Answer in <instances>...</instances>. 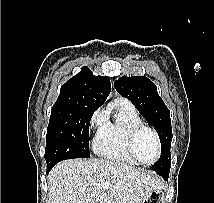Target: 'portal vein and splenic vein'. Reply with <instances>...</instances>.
<instances>
[{
	"instance_id": "1",
	"label": "portal vein and splenic vein",
	"mask_w": 214,
	"mask_h": 203,
	"mask_svg": "<svg viewBox=\"0 0 214 203\" xmlns=\"http://www.w3.org/2000/svg\"><path fill=\"white\" fill-rule=\"evenodd\" d=\"M109 187H110V183H109V182H104V183H103V188H104V189H107V190H108Z\"/></svg>"
}]
</instances>
